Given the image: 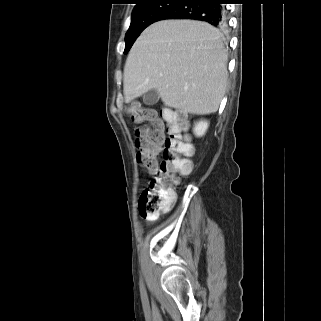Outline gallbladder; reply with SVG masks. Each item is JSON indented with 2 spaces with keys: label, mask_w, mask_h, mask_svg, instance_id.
I'll return each instance as SVG.
<instances>
[{
  "label": "gallbladder",
  "mask_w": 321,
  "mask_h": 321,
  "mask_svg": "<svg viewBox=\"0 0 321 321\" xmlns=\"http://www.w3.org/2000/svg\"><path fill=\"white\" fill-rule=\"evenodd\" d=\"M160 95L156 89H151L143 96V101L146 105L152 106L159 101Z\"/></svg>",
  "instance_id": "bac80fb5"
}]
</instances>
